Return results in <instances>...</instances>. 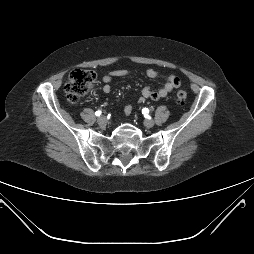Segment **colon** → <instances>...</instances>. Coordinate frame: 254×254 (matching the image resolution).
<instances>
[{
  "label": "colon",
  "mask_w": 254,
  "mask_h": 254,
  "mask_svg": "<svg viewBox=\"0 0 254 254\" xmlns=\"http://www.w3.org/2000/svg\"><path fill=\"white\" fill-rule=\"evenodd\" d=\"M96 75L89 70H75L68 76L65 84V94L71 104H76L82 96L90 92L95 87ZM179 102H184L187 93L179 90L176 94Z\"/></svg>",
  "instance_id": "colon-1"
}]
</instances>
